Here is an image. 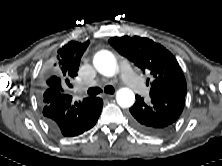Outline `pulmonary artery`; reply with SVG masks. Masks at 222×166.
<instances>
[{
  "mask_svg": "<svg viewBox=\"0 0 222 166\" xmlns=\"http://www.w3.org/2000/svg\"><path fill=\"white\" fill-rule=\"evenodd\" d=\"M120 75H121L122 81L128 88L132 90L139 89L140 79L128 62L121 63ZM91 84H94V83H91ZM83 89H84L83 85L78 87V90H83Z\"/></svg>",
  "mask_w": 222,
  "mask_h": 166,
  "instance_id": "obj_1",
  "label": "pulmonary artery"
}]
</instances>
